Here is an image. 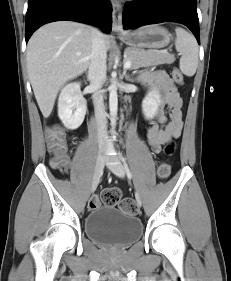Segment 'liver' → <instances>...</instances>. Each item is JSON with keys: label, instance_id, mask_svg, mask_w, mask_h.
Returning <instances> with one entry per match:
<instances>
[{"label": "liver", "instance_id": "obj_1", "mask_svg": "<svg viewBox=\"0 0 231 281\" xmlns=\"http://www.w3.org/2000/svg\"><path fill=\"white\" fill-rule=\"evenodd\" d=\"M93 28L58 21L39 28L27 46V71L38 106L45 118L53 110L60 88L87 70L91 61ZM106 50L110 37L103 35Z\"/></svg>", "mask_w": 231, "mask_h": 281}]
</instances>
